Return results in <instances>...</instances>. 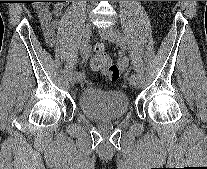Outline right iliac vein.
<instances>
[{
	"instance_id": "63e3f726",
	"label": "right iliac vein",
	"mask_w": 207,
	"mask_h": 169,
	"mask_svg": "<svg viewBox=\"0 0 207 169\" xmlns=\"http://www.w3.org/2000/svg\"><path fill=\"white\" fill-rule=\"evenodd\" d=\"M91 34H92V27L90 24H86L83 28V43L84 44H86L89 41ZM69 81L71 85H74L78 81L77 76L74 72L70 74Z\"/></svg>"
}]
</instances>
